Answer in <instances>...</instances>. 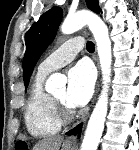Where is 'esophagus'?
I'll list each match as a JSON object with an SVG mask.
<instances>
[{
    "mask_svg": "<svg viewBox=\"0 0 139 150\" xmlns=\"http://www.w3.org/2000/svg\"><path fill=\"white\" fill-rule=\"evenodd\" d=\"M95 61H96L97 66H98V68H99V63H98L97 56H95ZM98 89H99V82H98V84H97V91H98ZM87 118H88V115H86V116L83 118V122H86ZM76 142H77V136H75V135L70 136V137L67 138V140L65 141V143H66L67 145H75Z\"/></svg>",
    "mask_w": 139,
    "mask_h": 150,
    "instance_id": "34e87169",
    "label": "esophagus"
}]
</instances>
